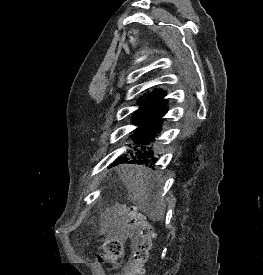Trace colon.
I'll list each match as a JSON object with an SVG mask.
<instances>
[{"mask_svg": "<svg viewBox=\"0 0 263 275\" xmlns=\"http://www.w3.org/2000/svg\"><path fill=\"white\" fill-rule=\"evenodd\" d=\"M120 215L124 217L129 236L132 239L131 259L122 270L121 275H143L152 247V226L136 210L122 207ZM123 255V243L120 240L111 239L103 244V251L97 256V261L101 265L114 268Z\"/></svg>", "mask_w": 263, "mask_h": 275, "instance_id": "colon-1", "label": "colon"}]
</instances>
